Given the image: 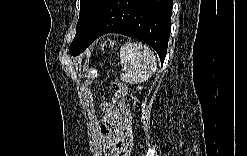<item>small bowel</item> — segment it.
<instances>
[{
    "mask_svg": "<svg viewBox=\"0 0 247 156\" xmlns=\"http://www.w3.org/2000/svg\"><path fill=\"white\" fill-rule=\"evenodd\" d=\"M104 118L99 124V135L106 155H124L132 146V130L122 120L116 101L102 104Z\"/></svg>",
    "mask_w": 247,
    "mask_h": 156,
    "instance_id": "small-bowel-1",
    "label": "small bowel"
}]
</instances>
